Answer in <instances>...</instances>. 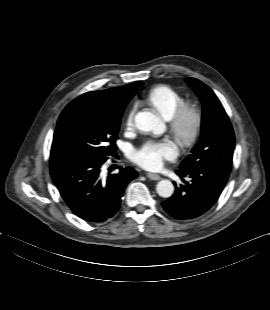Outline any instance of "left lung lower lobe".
<instances>
[{"label": "left lung lower lobe", "instance_id": "0a47b994", "mask_svg": "<svg viewBox=\"0 0 270 310\" xmlns=\"http://www.w3.org/2000/svg\"><path fill=\"white\" fill-rule=\"evenodd\" d=\"M176 173L189 181L182 179L184 184L176 187L172 197L162 205L178 220L193 219L206 213L219 198L229 177L228 173L204 167L180 168Z\"/></svg>", "mask_w": 270, "mask_h": 310}]
</instances>
